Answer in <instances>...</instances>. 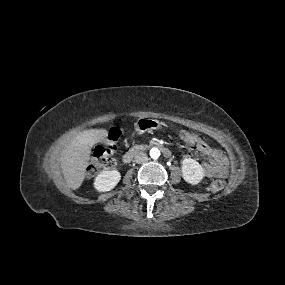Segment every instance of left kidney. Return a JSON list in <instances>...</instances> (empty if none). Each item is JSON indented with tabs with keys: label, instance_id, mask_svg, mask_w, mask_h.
Instances as JSON below:
<instances>
[{
	"label": "left kidney",
	"instance_id": "5707ae66",
	"mask_svg": "<svg viewBox=\"0 0 285 285\" xmlns=\"http://www.w3.org/2000/svg\"><path fill=\"white\" fill-rule=\"evenodd\" d=\"M182 177L190 184H198L204 177L202 166L194 159L185 158L182 161Z\"/></svg>",
	"mask_w": 285,
	"mask_h": 285
}]
</instances>
